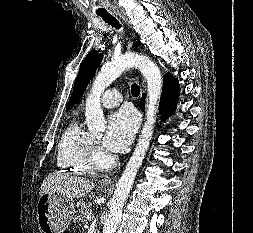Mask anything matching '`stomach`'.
Instances as JSON below:
<instances>
[{
	"mask_svg": "<svg viewBox=\"0 0 253 233\" xmlns=\"http://www.w3.org/2000/svg\"><path fill=\"white\" fill-rule=\"evenodd\" d=\"M74 210L72 198L58 193L41 195L37 204V221L41 233H63L72 220Z\"/></svg>",
	"mask_w": 253,
	"mask_h": 233,
	"instance_id": "1",
	"label": "stomach"
}]
</instances>
